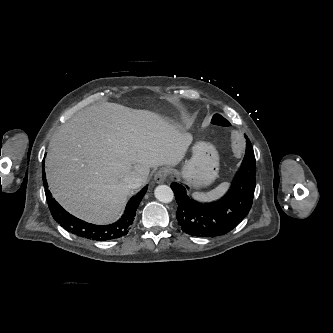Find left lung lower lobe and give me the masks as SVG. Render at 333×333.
Returning a JSON list of instances; mask_svg holds the SVG:
<instances>
[{
  "label": "left lung lower lobe",
  "mask_w": 333,
  "mask_h": 333,
  "mask_svg": "<svg viewBox=\"0 0 333 333\" xmlns=\"http://www.w3.org/2000/svg\"><path fill=\"white\" fill-rule=\"evenodd\" d=\"M256 160L252 144L246 136V153L230 190L219 201L202 204L187 196V187L173 182L178 209V224L189 235L215 237L235 228L251 209L256 186Z\"/></svg>",
  "instance_id": "1"
}]
</instances>
